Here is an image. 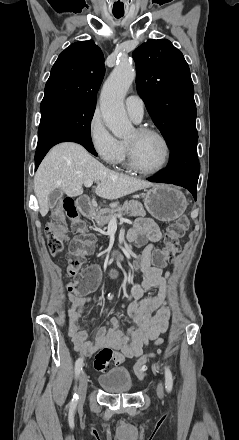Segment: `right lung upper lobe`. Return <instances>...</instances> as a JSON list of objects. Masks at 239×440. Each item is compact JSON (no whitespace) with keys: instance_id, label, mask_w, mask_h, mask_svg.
<instances>
[{"instance_id":"obj_1","label":"right lung upper lobe","mask_w":239,"mask_h":440,"mask_svg":"<svg viewBox=\"0 0 239 440\" xmlns=\"http://www.w3.org/2000/svg\"><path fill=\"white\" fill-rule=\"evenodd\" d=\"M104 74L101 49L92 40L73 43L53 65L42 103L70 100L95 107Z\"/></svg>"}]
</instances>
